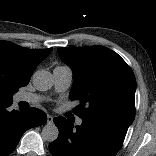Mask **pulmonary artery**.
<instances>
[{
    "instance_id": "1",
    "label": "pulmonary artery",
    "mask_w": 156,
    "mask_h": 156,
    "mask_svg": "<svg viewBox=\"0 0 156 156\" xmlns=\"http://www.w3.org/2000/svg\"><path fill=\"white\" fill-rule=\"evenodd\" d=\"M54 88L57 92L66 91L72 84L73 73L68 66L58 65L53 69ZM18 101L37 103L42 100V97L34 93H21L18 95ZM77 125L82 124V120L78 118L76 120Z\"/></svg>"
}]
</instances>
